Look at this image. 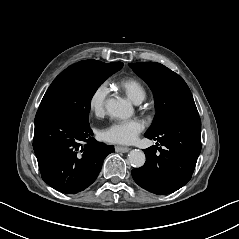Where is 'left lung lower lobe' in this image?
<instances>
[{
  "instance_id": "left-lung-lower-lobe-1",
  "label": "left lung lower lobe",
  "mask_w": 239,
  "mask_h": 239,
  "mask_svg": "<svg viewBox=\"0 0 239 239\" xmlns=\"http://www.w3.org/2000/svg\"><path fill=\"white\" fill-rule=\"evenodd\" d=\"M200 132L199 115L189 114L171 120L156 135L145 134L158 143L145 150V164L132 170L135 182L158 195L184 186L191 179L201 151Z\"/></svg>"
}]
</instances>
